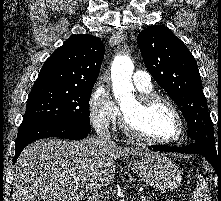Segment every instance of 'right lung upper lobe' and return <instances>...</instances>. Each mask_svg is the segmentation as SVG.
<instances>
[{
  "label": "right lung upper lobe",
  "instance_id": "1",
  "mask_svg": "<svg viewBox=\"0 0 221 201\" xmlns=\"http://www.w3.org/2000/svg\"><path fill=\"white\" fill-rule=\"evenodd\" d=\"M104 45L93 35H73L45 61L33 88L90 90L99 75Z\"/></svg>",
  "mask_w": 221,
  "mask_h": 201
}]
</instances>
